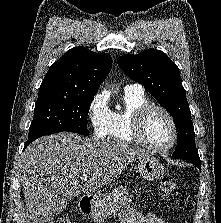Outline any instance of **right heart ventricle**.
<instances>
[{
	"instance_id": "1",
	"label": "right heart ventricle",
	"mask_w": 221,
	"mask_h": 223,
	"mask_svg": "<svg viewBox=\"0 0 221 223\" xmlns=\"http://www.w3.org/2000/svg\"><path fill=\"white\" fill-rule=\"evenodd\" d=\"M123 101V110L110 112L107 137L113 142L132 143L134 138L130 133V126L133 116L139 108L150 104V101L143 90L124 91Z\"/></svg>"
}]
</instances>
